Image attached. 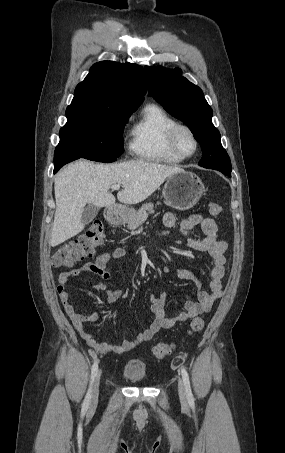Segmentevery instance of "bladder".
Wrapping results in <instances>:
<instances>
[{
    "label": "bladder",
    "mask_w": 285,
    "mask_h": 453,
    "mask_svg": "<svg viewBox=\"0 0 285 453\" xmlns=\"http://www.w3.org/2000/svg\"><path fill=\"white\" fill-rule=\"evenodd\" d=\"M123 376L133 382H141L146 378V368L137 361L128 362L123 369Z\"/></svg>",
    "instance_id": "obj_1"
}]
</instances>
